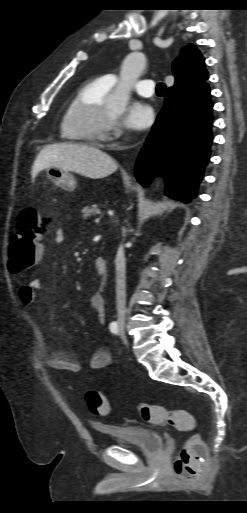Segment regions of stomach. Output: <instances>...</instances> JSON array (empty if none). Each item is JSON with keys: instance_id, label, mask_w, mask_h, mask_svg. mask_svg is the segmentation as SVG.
<instances>
[{"instance_id": "1", "label": "stomach", "mask_w": 247, "mask_h": 513, "mask_svg": "<svg viewBox=\"0 0 247 513\" xmlns=\"http://www.w3.org/2000/svg\"><path fill=\"white\" fill-rule=\"evenodd\" d=\"M46 174L51 182L66 191H73L77 187L75 177L68 170L57 167H49L46 169Z\"/></svg>"}]
</instances>
